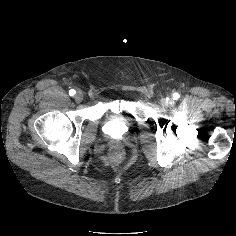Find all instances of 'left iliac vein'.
I'll use <instances>...</instances> for the list:
<instances>
[{"label": "left iliac vein", "instance_id": "obj_1", "mask_svg": "<svg viewBox=\"0 0 236 236\" xmlns=\"http://www.w3.org/2000/svg\"><path fill=\"white\" fill-rule=\"evenodd\" d=\"M173 104H174V100L171 99V98H163L161 100V105L162 106L168 107V106H172Z\"/></svg>", "mask_w": 236, "mask_h": 236}]
</instances>
